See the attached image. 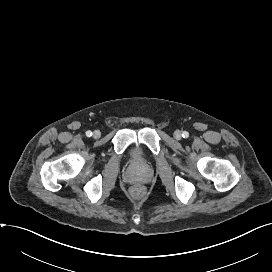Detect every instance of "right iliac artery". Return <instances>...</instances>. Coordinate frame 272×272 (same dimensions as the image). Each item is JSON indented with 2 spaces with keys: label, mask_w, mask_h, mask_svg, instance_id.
I'll list each match as a JSON object with an SVG mask.
<instances>
[{
  "label": "right iliac artery",
  "mask_w": 272,
  "mask_h": 272,
  "mask_svg": "<svg viewBox=\"0 0 272 272\" xmlns=\"http://www.w3.org/2000/svg\"><path fill=\"white\" fill-rule=\"evenodd\" d=\"M86 136H87V137H91V136H92V132H91L90 130H88V131L86 132Z\"/></svg>",
  "instance_id": "82829eb1"
}]
</instances>
